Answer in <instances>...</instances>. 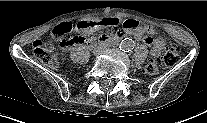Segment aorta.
Wrapping results in <instances>:
<instances>
[{"label": "aorta", "mask_w": 207, "mask_h": 123, "mask_svg": "<svg viewBox=\"0 0 207 123\" xmlns=\"http://www.w3.org/2000/svg\"><path fill=\"white\" fill-rule=\"evenodd\" d=\"M134 41L132 39L126 38L120 42V49L123 51H130L134 48Z\"/></svg>", "instance_id": "1"}]
</instances>
